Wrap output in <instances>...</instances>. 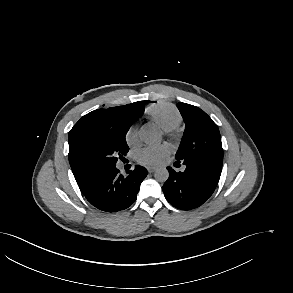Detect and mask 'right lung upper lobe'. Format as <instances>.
<instances>
[{"mask_svg": "<svg viewBox=\"0 0 293 293\" xmlns=\"http://www.w3.org/2000/svg\"><path fill=\"white\" fill-rule=\"evenodd\" d=\"M147 101H139L125 106L111 107L109 109L94 110L83 116L69 132V162L82 193L87 192L103 174L106 168H95L83 162L76 150L77 138L80 131L90 125H113L124 114L132 111H143V104Z\"/></svg>", "mask_w": 293, "mask_h": 293, "instance_id": "obj_1", "label": "right lung upper lobe"}]
</instances>
